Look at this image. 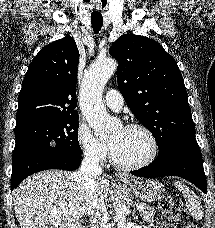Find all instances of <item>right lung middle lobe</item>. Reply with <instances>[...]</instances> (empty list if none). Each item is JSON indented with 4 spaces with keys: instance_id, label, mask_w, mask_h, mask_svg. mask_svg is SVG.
Returning <instances> with one entry per match:
<instances>
[{
    "instance_id": "1",
    "label": "right lung middle lobe",
    "mask_w": 215,
    "mask_h": 228,
    "mask_svg": "<svg viewBox=\"0 0 215 228\" xmlns=\"http://www.w3.org/2000/svg\"><path fill=\"white\" fill-rule=\"evenodd\" d=\"M78 115L36 118L16 124L13 160L41 150L81 154Z\"/></svg>"
}]
</instances>
